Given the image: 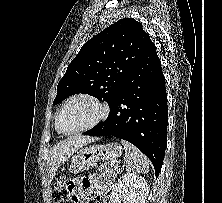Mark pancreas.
<instances>
[{"label":"pancreas","instance_id":"pancreas-1","mask_svg":"<svg viewBox=\"0 0 222 203\" xmlns=\"http://www.w3.org/2000/svg\"><path fill=\"white\" fill-rule=\"evenodd\" d=\"M118 170V162L116 160H110L99 167V171L102 174H106L109 178H115Z\"/></svg>","mask_w":222,"mask_h":203}]
</instances>
